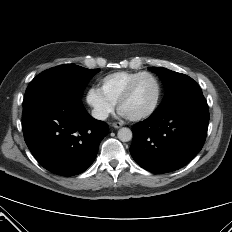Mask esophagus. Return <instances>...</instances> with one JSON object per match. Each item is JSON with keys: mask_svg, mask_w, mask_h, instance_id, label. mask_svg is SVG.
I'll return each mask as SVG.
<instances>
[{"mask_svg": "<svg viewBox=\"0 0 232 232\" xmlns=\"http://www.w3.org/2000/svg\"><path fill=\"white\" fill-rule=\"evenodd\" d=\"M112 126H113L114 128H116V129H118V128H120V127L122 126V124L119 123V122H114V123H112Z\"/></svg>", "mask_w": 232, "mask_h": 232, "instance_id": "1", "label": "esophagus"}]
</instances>
